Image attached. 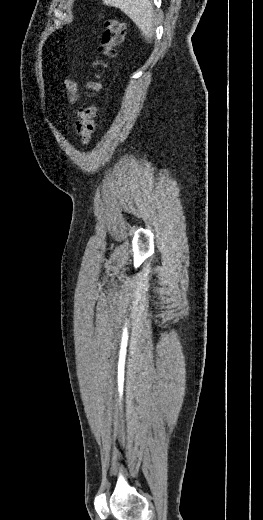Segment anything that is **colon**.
Listing matches in <instances>:
<instances>
[{
  "label": "colon",
  "mask_w": 263,
  "mask_h": 520,
  "mask_svg": "<svg viewBox=\"0 0 263 520\" xmlns=\"http://www.w3.org/2000/svg\"><path fill=\"white\" fill-rule=\"evenodd\" d=\"M126 26L118 18H108L104 21V32L98 51L100 56L94 60L85 86L88 97L94 96L100 89V71L108 65V60L114 58L117 48L123 43ZM76 132L83 144L90 143L95 131V107L85 104L78 108Z\"/></svg>",
  "instance_id": "obj_1"
}]
</instances>
